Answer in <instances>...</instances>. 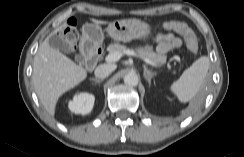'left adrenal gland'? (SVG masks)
I'll use <instances>...</instances> for the list:
<instances>
[{"label":"left adrenal gland","instance_id":"1","mask_svg":"<svg viewBox=\"0 0 244 157\" xmlns=\"http://www.w3.org/2000/svg\"><path fill=\"white\" fill-rule=\"evenodd\" d=\"M143 68H144L143 76L148 81L149 85H151V79L154 78L156 74L148 70L145 65L143 66Z\"/></svg>","mask_w":244,"mask_h":157}]
</instances>
